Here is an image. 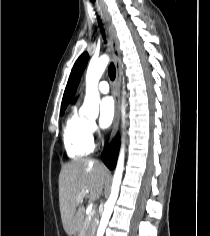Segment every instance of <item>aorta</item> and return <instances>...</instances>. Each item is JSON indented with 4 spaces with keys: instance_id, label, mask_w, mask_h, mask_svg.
<instances>
[{
    "instance_id": "aorta-1",
    "label": "aorta",
    "mask_w": 210,
    "mask_h": 236,
    "mask_svg": "<svg viewBox=\"0 0 210 236\" xmlns=\"http://www.w3.org/2000/svg\"><path fill=\"white\" fill-rule=\"evenodd\" d=\"M110 58L107 55H102L97 59H92L89 63L87 73H86V95L84 99V103L81 109V112L86 115L88 118H96L99 113V102H100V94L98 91V82L104 73ZM122 117L124 122L125 116V107L124 102L122 104ZM124 144L121 145V150L116 166V170L113 177L111 194L105 203L104 212L102 214L98 234L103 235L105 228L108 224L110 216L112 214L114 205L116 203L119 188L121 184L123 169H124ZM99 236V235H98Z\"/></svg>"
}]
</instances>
